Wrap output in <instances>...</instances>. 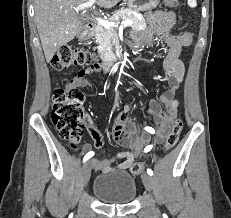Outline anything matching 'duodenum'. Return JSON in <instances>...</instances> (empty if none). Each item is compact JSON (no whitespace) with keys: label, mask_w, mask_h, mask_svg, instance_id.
<instances>
[{"label":"duodenum","mask_w":231,"mask_h":218,"mask_svg":"<svg viewBox=\"0 0 231 218\" xmlns=\"http://www.w3.org/2000/svg\"><path fill=\"white\" fill-rule=\"evenodd\" d=\"M95 31V26L93 23H88L86 24V26L84 27L83 31L80 33L79 38L81 40H87L89 39ZM125 58L122 54L117 53V54H113L110 55L108 57H106L103 62L100 64V68L102 71L107 72L111 69H113L114 67L118 66L121 63H125Z\"/></svg>","instance_id":"1"}]
</instances>
